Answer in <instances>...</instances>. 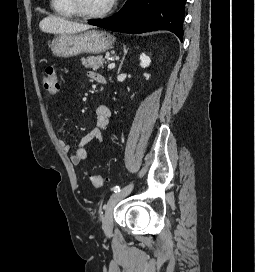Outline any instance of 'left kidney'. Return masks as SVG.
Returning a JSON list of instances; mask_svg holds the SVG:
<instances>
[{"label":"left kidney","mask_w":255,"mask_h":272,"mask_svg":"<svg viewBox=\"0 0 255 272\" xmlns=\"http://www.w3.org/2000/svg\"><path fill=\"white\" fill-rule=\"evenodd\" d=\"M150 63H151L150 57L147 56L146 54L142 53L140 55V66L142 68H147V67H149Z\"/></svg>","instance_id":"obj_1"}]
</instances>
